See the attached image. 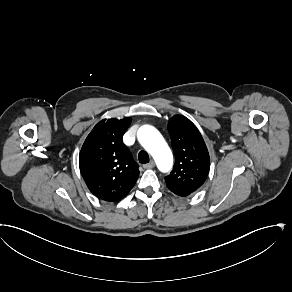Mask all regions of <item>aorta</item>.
I'll return each instance as SVG.
<instances>
[{"instance_id": "762f6f07", "label": "aorta", "mask_w": 292, "mask_h": 292, "mask_svg": "<svg viewBox=\"0 0 292 292\" xmlns=\"http://www.w3.org/2000/svg\"><path fill=\"white\" fill-rule=\"evenodd\" d=\"M138 139L148 153L154 158L162 171L172 167V152L162 135L152 126H143L138 131Z\"/></svg>"}]
</instances>
